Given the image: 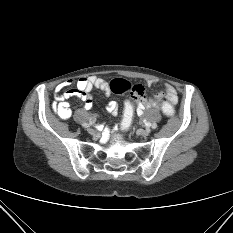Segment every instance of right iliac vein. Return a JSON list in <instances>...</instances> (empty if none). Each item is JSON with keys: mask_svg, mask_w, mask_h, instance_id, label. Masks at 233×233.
Returning <instances> with one entry per match:
<instances>
[{"mask_svg": "<svg viewBox=\"0 0 233 233\" xmlns=\"http://www.w3.org/2000/svg\"><path fill=\"white\" fill-rule=\"evenodd\" d=\"M87 131H88V133H89V134H91V135H97L96 130H95V129H93V128H91V127H90V128H88V129H87Z\"/></svg>", "mask_w": 233, "mask_h": 233, "instance_id": "63e3f726", "label": "right iliac vein"}]
</instances>
